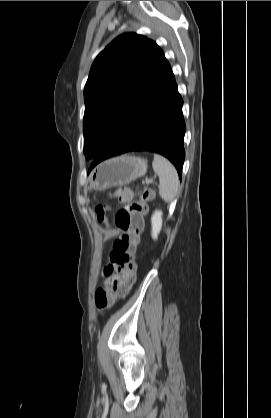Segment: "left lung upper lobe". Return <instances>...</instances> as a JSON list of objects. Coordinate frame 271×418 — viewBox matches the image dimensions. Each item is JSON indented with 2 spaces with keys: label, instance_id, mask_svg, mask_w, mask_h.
Listing matches in <instances>:
<instances>
[{
  "label": "left lung upper lobe",
  "instance_id": "left-lung-upper-lobe-1",
  "mask_svg": "<svg viewBox=\"0 0 271 418\" xmlns=\"http://www.w3.org/2000/svg\"><path fill=\"white\" fill-rule=\"evenodd\" d=\"M168 64L155 42L135 33L114 39L95 59L84 88V155L94 159Z\"/></svg>",
  "mask_w": 271,
  "mask_h": 418
}]
</instances>
